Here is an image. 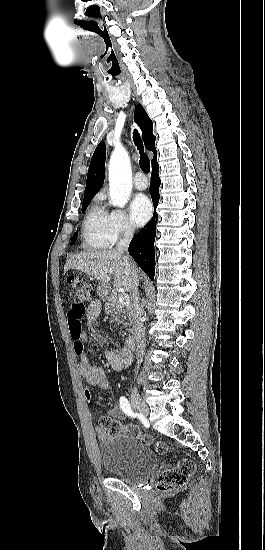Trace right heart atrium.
Segmentation results:
<instances>
[{
	"mask_svg": "<svg viewBox=\"0 0 265 550\" xmlns=\"http://www.w3.org/2000/svg\"><path fill=\"white\" fill-rule=\"evenodd\" d=\"M109 226L114 241L131 237L135 232L127 214L121 209H114L110 212Z\"/></svg>",
	"mask_w": 265,
	"mask_h": 550,
	"instance_id": "right-heart-atrium-1",
	"label": "right heart atrium"
}]
</instances>
